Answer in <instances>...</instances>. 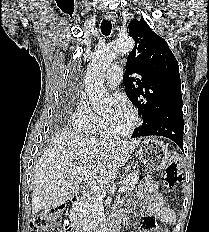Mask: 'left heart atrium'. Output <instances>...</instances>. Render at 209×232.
Instances as JSON below:
<instances>
[{"label": "left heart atrium", "mask_w": 209, "mask_h": 232, "mask_svg": "<svg viewBox=\"0 0 209 232\" xmlns=\"http://www.w3.org/2000/svg\"><path fill=\"white\" fill-rule=\"evenodd\" d=\"M114 103H115V111H114L115 114H122L127 111V103L122 97L117 96L115 98Z\"/></svg>", "instance_id": "1"}]
</instances>
